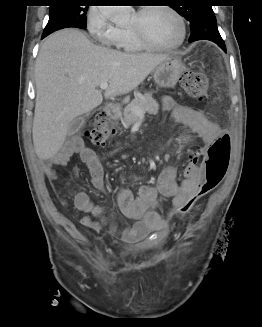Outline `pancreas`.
<instances>
[{
  "label": "pancreas",
  "mask_w": 262,
  "mask_h": 327,
  "mask_svg": "<svg viewBox=\"0 0 262 327\" xmlns=\"http://www.w3.org/2000/svg\"><path fill=\"white\" fill-rule=\"evenodd\" d=\"M134 107H139L143 114L146 112L151 115L158 114L159 104L153 99L151 93H145L135 97L123 110V114L120 116V120L125 127H129L137 119L138 115L133 111Z\"/></svg>",
  "instance_id": "obj_1"
}]
</instances>
